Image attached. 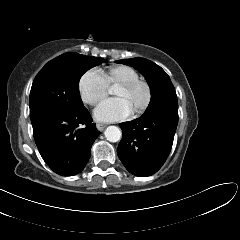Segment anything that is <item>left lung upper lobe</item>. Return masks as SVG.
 <instances>
[{
  "instance_id": "1",
  "label": "left lung upper lobe",
  "mask_w": 240,
  "mask_h": 240,
  "mask_svg": "<svg viewBox=\"0 0 240 240\" xmlns=\"http://www.w3.org/2000/svg\"><path fill=\"white\" fill-rule=\"evenodd\" d=\"M116 63L133 66L146 78L151 90V101L145 113L163 108L178 110L174 86L160 66L143 58L123 59Z\"/></svg>"
}]
</instances>
